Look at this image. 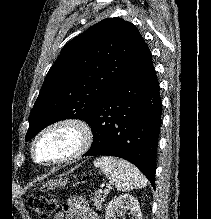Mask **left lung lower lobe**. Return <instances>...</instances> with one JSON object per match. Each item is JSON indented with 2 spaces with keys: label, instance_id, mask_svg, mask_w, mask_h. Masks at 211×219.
<instances>
[{
  "label": "left lung lower lobe",
  "instance_id": "obj_1",
  "mask_svg": "<svg viewBox=\"0 0 211 219\" xmlns=\"http://www.w3.org/2000/svg\"><path fill=\"white\" fill-rule=\"evenodd\" d=\"M159 90L151 52L145 45L98 103L88 122L93 144L84 155L126 159L154 187L162 111Z\"/></svg>",
  "mask_w": 211,
  "mask_h": 219
}]
</instances>
